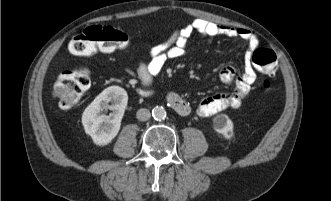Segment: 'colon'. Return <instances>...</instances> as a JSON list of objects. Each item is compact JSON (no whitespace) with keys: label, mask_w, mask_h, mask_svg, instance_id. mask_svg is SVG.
Wrapping results in <instances>:
<instances>
[{"label":"colon","mask_w":331,"mask_h":201,"mask_svg":"<svg viewBox=\"0 0 331 201\" xmlns=\"http://www.w3.org/2000/svg\"><path fill=\"white\" fill-rule=\"evenodd\" d=\"M131 42L130 37L111 26H90L74 36L69 43V50L74 55L89 56L97 52H113L125 49ZM252 61L266 76L261 81L265 90L271 88L270 77L276 70L275 53L266 48L254 51ZM91 84L90 74L83 69L68 70L62 72L54 86V95L63 109L73 107L89 89Z\"/></svg>","instance_id":"obj_1"}]
</instances>
